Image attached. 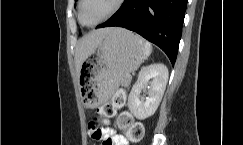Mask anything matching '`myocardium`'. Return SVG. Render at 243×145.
I'll return each mask as SVG.
<instances>
[{"label":"myocardium","instance_id":"1","mask_svg":"<svg viewBox=\"0 0 243 145\" xmlns=\"http://www.w3.org/2000/svg\"><path fill=\"white\" fill-rule=\"evenodd\" d=\"M84 1L85 0H79L78 19H79V22L83 26L88 27V28L96 27V26L102 24L103 22L107 21L111 17H113L116 13H118L121 10V8L123 7V5L125 3V0H116L115 6L113 7V9L105 17H103L101 20H99L95 24L88 25V24H85L83 22V19H82V8H83Z\"/></svg>","mask_w":243,"mask_h":145}]
</instances>
